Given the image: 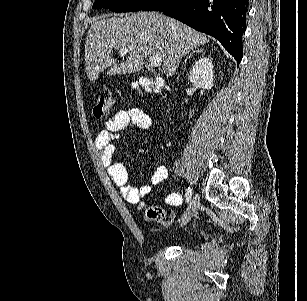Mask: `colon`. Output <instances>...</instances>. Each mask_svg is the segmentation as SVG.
Returning a JSON list of instances; mask_svg holds the SVG:
<instances>
[{"label": "colon", "mask_w": 307, "mask_h": 301, "mask_svg": "<svg viewBox=\"0 0 307 301\" xmlns=\"http://www.w3.org/2000/svg\"><path fill=\"white\" fill-rule=\"evenodd\" d=\"M133 88L137 92L161 90L162 85L158 81H141L136 83ZM112 109L111 94L109 91H102L98 101L93 108V114L97 119L108 116ZM145 219L151 223H157L163 226H170L175 219V214L171 210H167L158 206H150L145 210Z\"/></svg>", "instance_id": "5ec220e1"}]
</instances>
